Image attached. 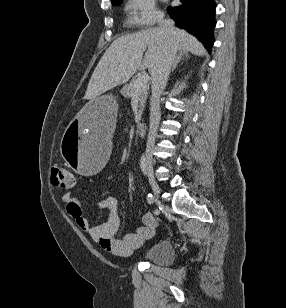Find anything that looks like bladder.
Wrapping results in <instances>:
<instances>
[{
  "label": "bladder",
  "instance_id": "obj_1",
  "mask_svg": "<svg viewBox=\"0 0 286 308\" xmlns=\"http://www.w3.org/2000/svg\"><path fill=\"white\" fill-rule=\"evenodd\" d=\"M142 258L146 262L159 265L170 264L174 259L173 245L167 240L158 241L146 249Z\"/></svg>",
  "mask_w": 286,
  "mask_h": 308
}]
</instances>
